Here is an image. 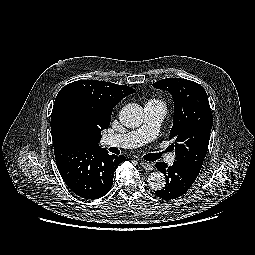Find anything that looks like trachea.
Instances as JSON below:
<instances>
[{"label":"trachea","instance_id":"1","mask_svg":"<svg viewBox=\"0 0 255 255\" xmlns=\"http://www.w3.org/2000/svg\"><path fill=\"white\" fill-rule=\"evenodd\" d=\"M146 161H155L161 158V153H149L143 156Z\"/></svg>","mask_w":255,"mask_h":255}]
</instances>
